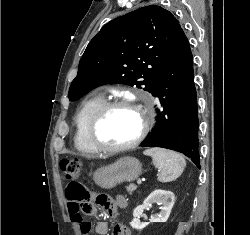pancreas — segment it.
<instances>
[{
  "label": "pancreas",
  "instance_id": "cf45deb5",
  "mask_svg": "<svg viewBox=\"0 0 250 235\" xmlns=\"http://www.w3.org/2000/svg\"><path fill=\"white\" fill-rule=\"evenodd\" d=\"M126 189H127V192L131 195L137 189V187L134 184H130L126 187Z\"/></svg>",
  "mask_w": 250,
  "mask_h": 235
}]
</instances>
